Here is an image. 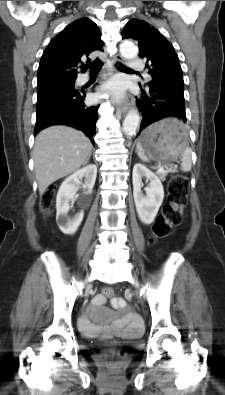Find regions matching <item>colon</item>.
Masks as SVG:
<instances>
[{
  "label": "colon",
  "instance_id": "5ec220e1",
  "mask_svg": "<svg viewBox=\"0 0 225 395\" xmlns=\"http://www.w3.org/2000/svg\"><path fill=\"white\" fill-rule=\"evenodd\" d=\"M188 192V180L184 176H172L168 181V201L163 207L161 215L152 225V234L150 241L163 239L170 236L176 226L182 221V206L186 200ZM55 189L49 188L41 199V209L43 212H49L53 206ZM104 296H111L112 287H102ZM122 350L116 346L109 347L104 351L105 358L108 362L114 363L122 356Z\"/></svg>",
  "mask_w": 225,
  "mask_h": 395
}]
</instances>
